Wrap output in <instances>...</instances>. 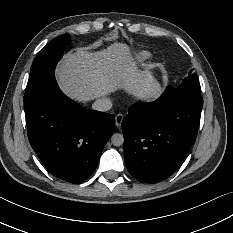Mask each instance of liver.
Instances as JSON below:
<instances>
[{"instance_id": "1", "label": "liver", "mask_w": 233, "mask_h": 233, "mask_svg": "<svg viewBox=\"0 0 233 233\" xmlns=\"http://www.w3.org/2000/svg\"><path fill=\"white\" fill-rule=\"evenodd\" d=\"M62 93L77 103L87 104L122 92L142 103H153L163 93L152 71L138 66L127 42L114 41L103 49L76 47L66 52L55 69Z\"/></svg>"}]
</instances>
